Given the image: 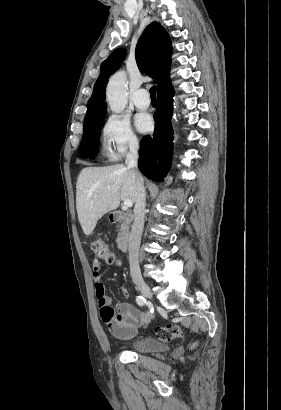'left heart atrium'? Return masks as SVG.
Here are the masks:
<instances>
[{"label":"left heart atrium","mask_w":281,"mask_h":410,"mask_svg":"<svg viewBox=\"0 0 281 410\" xmlns=\"http://www.w3.org/2000/svg\"><path fill=\"white\" fill-rule=\"evenodd\" d=\"M137 127L142 132H147L152 128V120L147 115H142L137 120Z\"/></svg>","instance_id":"left-heart-atrium-1"}]
</instances>
